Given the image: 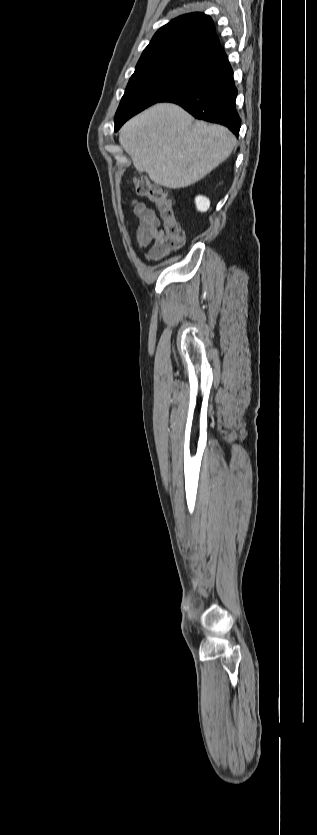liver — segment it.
I'll use <instances>...</instances> for the list:
<instances>
[{
  "instance_id": "obj_1",
  "label": "liver",
  "mask_w": 317,
  "mask_h": 835,
  "mask_svg": "<svg viewBox=\"0 0 317 835\" xmlns=\"http://www.w3.org/2000/svg\"><path fill=\"white\" fill-rule=\"evenodd\" d=\"M119 142L139 172L162 186H189L226 160L236 137L224 126L194 121L178 105L158 103L127 121Z\"/></svg>"
}]
</instances>
